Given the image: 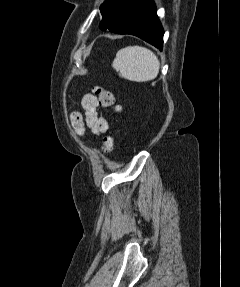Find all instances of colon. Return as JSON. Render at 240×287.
I'll return each instance as SVG.
<instances>
[{"label": "colon", "instance_id": "5ec220e1", "mask_svg": "<svg viewBox=\"0 0 240 287\" xmlns=\"http://www.w3.org/2000/svg\"><path fill=\"white\" fill-rule=\"evenodd\" d=\"M93 94L97 97L99 100L100 105L104 107H112L114 112L120 113L122 111V106L120 104H117L115 101L114 94L105 89L102 86H95L93 88ZM71 123L75 131L79 134L83 133V123L81 116L78 113H72L71 115ZM114 148V141L112 136L106 135L103 139V146L102 150L104 153H110Z\"/></svg>", "mask_w": 240, "mask_h": 287}]
</instances>
